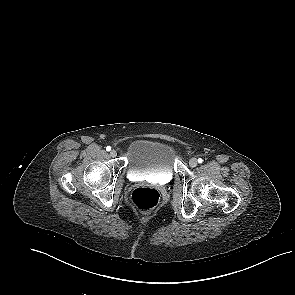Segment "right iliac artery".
<instances>
[{"mask_svg": "<svg viewBox=\"0 0 295 295\" xmlns=\"http://www.w3.org/2000/svg\"><path fill=\"white\" fill-rule=\"evenodd\" d=\"M106 150H107V151H110V150H111V147H110V146H107V147H106Z\"/></svg>", "mask_w": 295, "mask_h": 295, "instance_id": "1", "label": "right iliac artery"}]
</instances>
